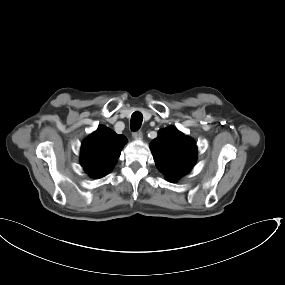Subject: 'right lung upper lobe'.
Returning a JSON list of instances; mask_svg holds the SVG:
<instances>
[{"label":"right lung upper lobe","mask_w":285,"mask_h":285,"mask_svg":"<svg viewBox=\"0 0 285 285\" xmlns=\"http://www.w3.org/2000/svg\"><path fill=\"white\" fill-rule=\"evenodd\" d=\"M127 139L105 126H99L81 146V165L92 178L108 174L117 162Z\"/></svg>","instance_id":"cb5924a9"}]
</instances>
